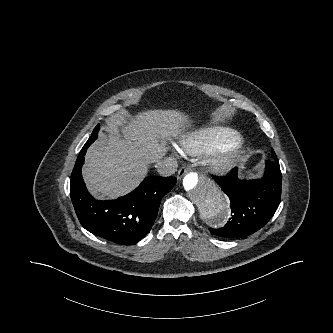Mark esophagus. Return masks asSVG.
I'll return each mask as SVG.
<instances>
[{
  "instance_id": "obj_1",
  "label": "esophagus",
  "mask_w": 333,
  "mask_h": 333,
  "mask_svg": "<svg viewBox=\"0 0 333 333\" xmlns=\"http://www.w3.org/2000/svg\"><path fill=\"white\" fill-rule=\"evenodd\" d=\"M187 171H188V168H187V167H181L180 170L178 171V176H177V178H178L179 180H181V179L184 177V175L186 174Z\"/></svg>"
}]
</instances>
